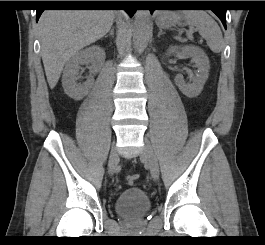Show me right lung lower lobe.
Returning <instances> with one entry per match:
<instances>
[{
  "instance_id": "right-lung-lower-lobe-1",
  "label": "right lung lower lobe",
  "mask_w": 265,
  "mask_h": 245,
  "mask_svg": "<svg viewBox=\"0 0 265 245\" xmlns=\"http://www.w3.org/2000/svg\"><path fill=\"white\" fill-rule=\"evenodd\" d=\"M54 6H71L67 3H54ZM80 7H122L123 10H126L131 16L136 12L134 5L129 1H84L80 3ZM44 10L38 9L36 13V21H38L40 15Z\"/></svg>"
}]
</instances>
